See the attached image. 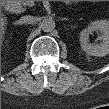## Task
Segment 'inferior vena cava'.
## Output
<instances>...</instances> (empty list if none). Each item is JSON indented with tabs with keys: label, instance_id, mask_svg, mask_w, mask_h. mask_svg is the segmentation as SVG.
<instances>
[{
	"label": "inferior vena cava",
	"instance_id": "inferior-vena-cava-1",
	"mask_svg": "<svg viewBox=\"0 0 109 109\" xmlns=\"http://www.w3.org/2000/svg\"><path fill=\"white\" fill-rule=\"evenodd\" d=\"M35 22V18L33 16H23L20 19V23L31 24Z\"/></svg>",
	"mask_w": 109,
	"mask_h": 109
}]
</instances>
